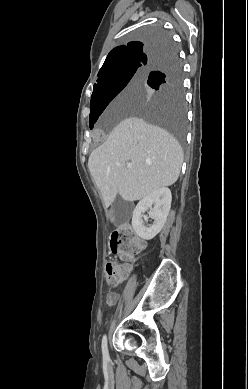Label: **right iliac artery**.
Instances as JSON below:
<instances>
[{
	"label": "right iliac artery",
	"instance_id": "82829eb1",
	"mask_svg": "<svg viewBox=\"0 0 248 389\" xmlns=\"http://www.w3.org/2000/svg\"><path fill=\"white\" fill-rule=\"evenodd\" d=\"M102 353H103V360L105 363L109 361V353H108V346H107V337L106 335L103 336L102 339Z\"/></svg>",
	"mask_w": 248,
	"mask_h": 389
}]
</instances>
